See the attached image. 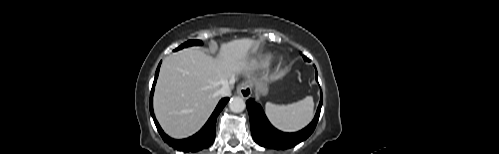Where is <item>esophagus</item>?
<instances>
[{
	"instance_id": "1",
	"label": "esophagus",
	"mask_w": 499,
	"mask_h": 154,
	"mask_svg": "<svg viewBox=\"0 0 499 154\" xmlns=\"http://www.w3.org/2000/svg\"><path fill=\"white\" fill-rule=\"evenodd\" d=\"M237 94L244 99H247L251 96L252 90L251 86L248 82H242L237 87Z\"/></svg>"
}]
</instances>
